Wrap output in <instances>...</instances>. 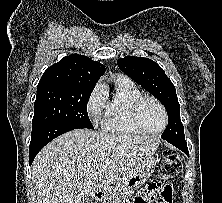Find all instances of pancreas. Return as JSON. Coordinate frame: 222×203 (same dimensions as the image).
Instances as JSON below:
<instances>
[{
  "label": "pancreas",
  "mask_w": 222,
  "mask_h": 203,
  "mask_svg": "<svg viewBox=\"0 0 222 203\" xmlns=\"http://www.w3.org/2000/svg\"><path fill=\"white\" fill-rule=\"evenodd\" d=\"M116 196L119 197L118 193H116ZM114 198H116V197H114Z\"/></svg>",
  "instance_id": "1"
}]
</instances>
